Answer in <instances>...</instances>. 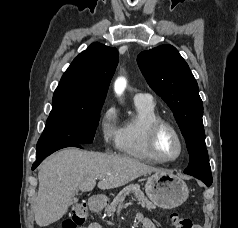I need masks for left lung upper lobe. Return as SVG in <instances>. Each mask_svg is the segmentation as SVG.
<instances>
[{
    "mask_svg": "<svg viewBox=\"0 0 238 228\" xmlns=\"http://www.w3.org/2000/svg\"><path fill=\"white\" fill-rule=\"evenodd\" d=\"M138 65L149 86L167 103L186 140L190 162L184 172L211 176L203 126V102L188 64L171 45L141 52Z\"/></svg>",
    "mask_w": 238,
    "mask_h": 228,
    "instance_id": "5c2ea615",
    "label": "left lung upper lobe"
}]
</instances>
